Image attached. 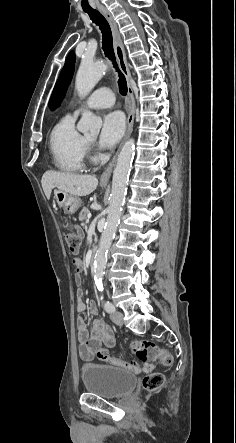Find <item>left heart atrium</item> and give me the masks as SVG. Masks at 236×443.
Masks as SVG:
<instances>
[{"mask_svg":"<svg viewBox=\"0 0 236 443\" xmlns=\"http://www.w3.org/2000/svg\"><path fill=\"white\" fill-rule=\"evenodd\" d=\"M125 130V119L121 112L113 111L104 115L101 124L98 144L101 148L114 146Z\"/></svg>","mask_w":236,"mask_h":443,"instance_id":"left-heart-atrium-1","label":"left heart atrium"}]
</instances>
